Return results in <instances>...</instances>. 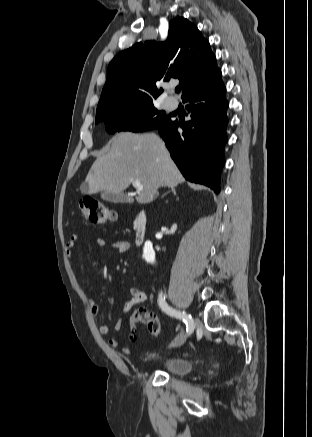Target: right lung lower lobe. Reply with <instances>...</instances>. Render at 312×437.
<instances>
[{
  "label": "right lung lower lobe",
  "instance_id": "98d812e1",
  "mask_svg": "<svg viewBox=\"0 0 312 437\" xmlns=\"http://www.w3.org/2000/svg\"><path fill=\"white\" fill-rule=\"evenodd\" d=\"M221 72L182 98L190 121H171L159 128L171 157L189 181L220 192V173L224 165L227 101ZM183 133L178 132V128Z\"/></svg>",
  "mask_w": 312,
  "mask_h": 437
}]
</instances>
